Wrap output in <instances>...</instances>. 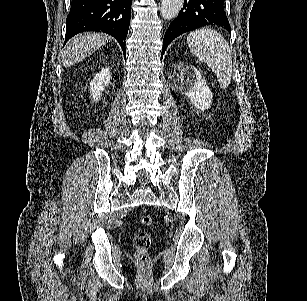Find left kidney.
Masks as SVG:
<instances>
[{"mask_svg": "<svg viewBox=\"0 0 307 301\" xmlns=\"http://www.w3.org/2000/svg\"><path fill=\"white\" fill-rule=\"evenodd\" d=\"M174 72L177 78L173 82L176 90H181L182 94H186L190 98V102L200 108L206 110L210 108L213 94L198 68L188 62H179L174 64Z\"/></svg>", "mask_w": 307, "mask_h": 301, "instance_id": "1", "label": "left kidney"}]
</instances>
